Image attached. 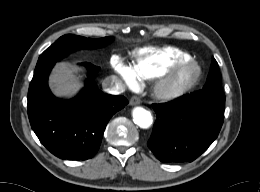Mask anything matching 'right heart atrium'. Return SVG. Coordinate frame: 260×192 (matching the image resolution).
<instances>
[{
	"label": "right heart atrium",
	"mask_w": 260,
	"mask_h": 192,
	"mask_svg": "<svg viewBox=\"0 0 260 192\" xmlns=\"http://www.w3.org/2000/svg\"><path fill=\"white\" fill-rule=\"evenodd\" d=\"M111 66L125 85L132 87L137 84V75L130 65L124 63L118 57H114L111 61Z\"/></svg>",
	"instance_id": "right-heart-atrium-1"
}]
</instances>
